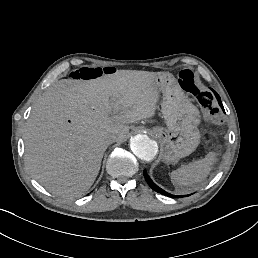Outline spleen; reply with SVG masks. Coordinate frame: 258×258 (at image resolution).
<instances>
[{
    "label": "spleen",
    "mask_w": 258,
    "mask_h": 258,
    "mask_svg": "<svg viewBox=\"0 0 258 258\" xmlns=\"http://www.w3.org/2000/svg\"><path fill=\"white\" fill-rule=\"evenodd\" d=\"M215 159V152L210 151L204 158L182 165L177 170L172 171L171 181L175 184L176 191L180 193L193 191L198 184L207 179Z\"/></svg>",
    "instance_id": "spleen-1"
}]
</instances>
